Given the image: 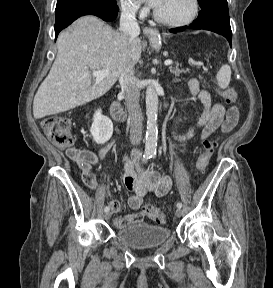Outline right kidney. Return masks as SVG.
<instances>
[{
  "label": "right kidney",
  "instance_id": "1",
  "mask_svg": "<svg viewBox=\"0 0 273 288\" xmlns=\"http://www.w3.org/2000/svg\"><path fill=\"white\" fill-rule=\"evenodd\" d=\"M90 132L97 144H104L112 137L113 123L102 114L101 109H98L94 114Z\"/></svg>",
  "mask_w": 273,
  "mask_h": 288
}]
</instances>
